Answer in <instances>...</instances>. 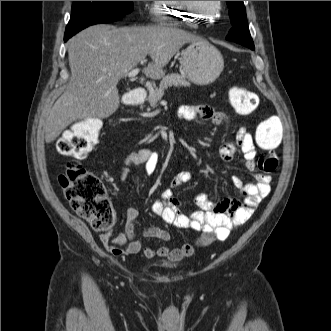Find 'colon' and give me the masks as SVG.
Masks as SVG:
<instances>
[{
    "mask_svg": "<svg viewBox=\"0 0 331 331\" xmlns=\"http://www.w3.org/2000/svg\"><path fill=\"white\" fill-rule=\"evenodd\" d=\"M232 107L240 114H249L258 104L257 96L241 87L229 91ZM101 123L87 119L75 123L64 132L57 144L59 153L70 157L58 180L71 208L99 231L110 230L115 223V212L106 196L105 187L98 176L88 171L81 163L97 144ZM283 121L271 116L262 121L256 132V142L262 149L272 150L282 141ZM264 174L273 173L278 167V158L272 152L262 154L257 163ZM210 243L204 244V246Z\"/></svg>",
    "mask_w": 331,
    "mask_h": 331,
    "instance_id": "1",
    "label": "colon"
}]
</instances>
